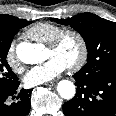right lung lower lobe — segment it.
<instances>
[{"mask_svg": "<svg viewBox=\"0 0 116 116\" xmlns=\"http://www.w3.org/2000/svg\"><path fill=\"white\" fill-rule=\"evenodd\" d=\"M20 82L0 89V116H27L32 89L18 90ZM14 100L13 102H11Z\"/></svg>", "mask_w": 116, "mask_h": 116, "instance_id": "right-lung-lower-lobe-1", "label": "right lung lower lobe"}]
</instances>
